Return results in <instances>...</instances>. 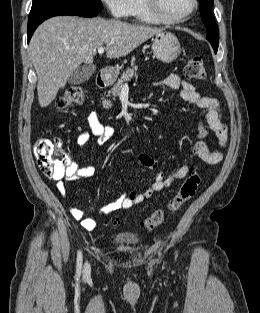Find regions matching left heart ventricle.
<instances>
[{
    "mask_svg": "<svg viewBox=\"0 0 260 313\" xmlns=\"http://www.w3.org/2000/svg\"><path fill=\"white\" fill-rule=\"evenodd\" d=\"M161 13L169 18L179 17L192 6V0H159Z\"/></svg>",
    "mask_w": 260,
    "mask_h": 313,
    "instance_id": "b2bd125f",
    "label": "left heart ventricle"
}]
</instances>
